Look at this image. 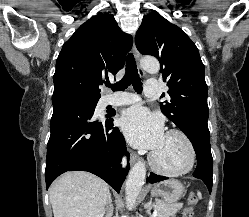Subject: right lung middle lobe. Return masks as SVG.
Instances as JSON below:
<instances>
[{
	"label": "right lung middle lobe",
	"instance_id": "obj_1",
	"mask_svg": "<svg viewBox=\"0 0 249 217\" xmlns=\"http://www.w3.org/2000/svg\"><path fill=\"white\" fill-rule=\"evenodd\" d=\"M62 94L72 95V96H74L76 98L85 100L86 102H88L91 105H96L97 101L100 98V97L88 96V95L77 93V92H65V93H62Z\"/></svg>",
	"mask_w": 249,
	"mask_h": 217
}]
</instances>
